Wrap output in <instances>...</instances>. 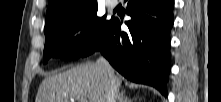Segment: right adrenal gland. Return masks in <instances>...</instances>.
<instances>
[{"label": "right adrenal gland", "mask_w": 221, "mask_h": 102, "mask_svg": "<svg viewBox=\"0 0 221 102\" xmlns=\"http://www.w3.org/2000/svg\"><path fill=\"white\" fill-rule=\"evenodd\" d=\"M133 100L129 99L128 97L125 96V92L122 91L121 94L119 95V101L118 102H132Z\"/></svg>", "instance_id": "right-adrenal-gland-1"}]
</instances>
